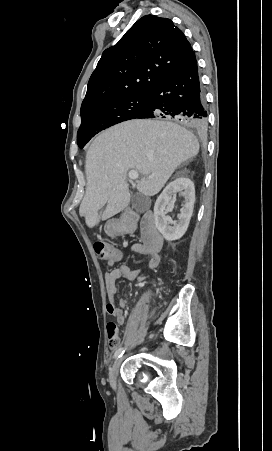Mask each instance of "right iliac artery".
I'll use <instances>...</instances> for the list:
<instances>
[{
	"label": "right iliac artery",
	"mask_w": 272,
	"mask_h": 451,
	"mask_svg": "<svg viewBox=\"0 0 272 451\" xmlns=\"http://www.w3.org/2000/svg\"><path fill=\"white\" fill-rule=\"evenodd\" d=\"M125 349L123 347L119 348L116 352H115V358L118 359L120 357H122V355L124 354Z\"/></svg>",
	"instance_id": "obj_1"
}]
</instances>
